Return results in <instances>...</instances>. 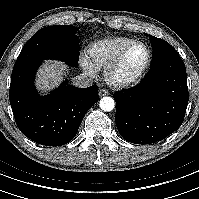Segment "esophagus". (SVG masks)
I'll return each mask as SVG.
<instances>
[{"mask_svg": "<svg viewBox=\"0 0 199 199\" xmlns=\"http://www.w3.org/2000/svg\"><path fill=\"white\" fill-rule=\"evenodd\" d=\"M108 94H109V92L106 89H100L99 90V96L100 97L106 96Z\"/></svg>", "mask_w": 199, "mask_h": 199, "instance_id": "esophagus-1", "label": "esophagus"}]
</instances>
